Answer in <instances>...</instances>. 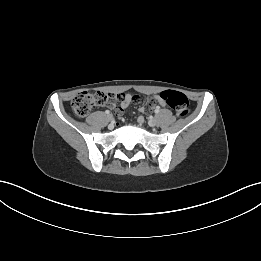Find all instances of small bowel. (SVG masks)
<instances>
[{
	"label": "small bowel",
	"instance_id": "obj_1",
	"mask_svg": "<svg viewBox=\"0 0 261 261\" xmlns=\"http://www.w3.org/2000/svg\"><path fill=\"white\" fill-rule=\"evenodd\" d=\"M120 105H117L115 102L110 103V107L118 112L123 111L129 104L136 105L140 108V113L144 114L147 110V106L150 107L153 104V101L147 96L140 94L138 92H135L132 96L130 94H121L120 95ZM153 99L159 102L161 106H166V103L160 99L159 94H155L153 96Z\"/></svg>",
	"mask_w": 261,
	"mask_h": 261
}]
</instances>
